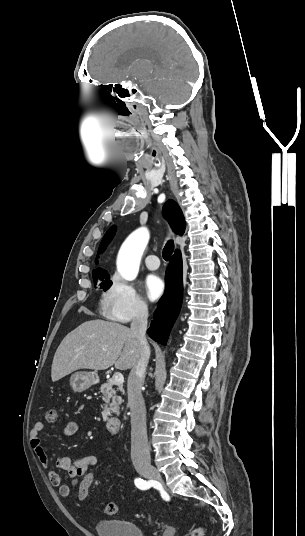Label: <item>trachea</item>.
Wrapping results in <instances>:
<instances>
[{
	"label": "trachea",
	"instance_id": "trachea-1",
	"mask_svg": "<svg viewBox=\"0 0 305 536\" xmlns=\"http://www.w3.org/2000/svg\"><path fill=\"white\" fill-rule=\"evenodd\" d=\"M174 251V242L173 240H168L164 246L162 256L165 261H168L171 258V255Z\"/></svg>",
	"mask_w": 305,
	"mask_h": 536
}]
</instances>
